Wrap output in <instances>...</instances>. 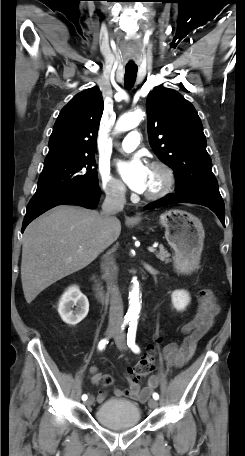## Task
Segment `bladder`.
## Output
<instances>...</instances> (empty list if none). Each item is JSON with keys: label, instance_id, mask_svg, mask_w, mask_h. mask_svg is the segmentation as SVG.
Listing matches in <instances>:
<instances>
[{"label": "bladder", "instance_id": "31cf9c89", "mask_svg": "<svg viewBox=\"0 0 245 456\" xmlns=\"http://www.w3.org/2000/svg\"><path fill=\"white\" fill-rule=\"evenodd\" d=\"M95 418L102 426L110 429H129L141 422V409L132 401L114 398L97 407Z\"/></svg>", "mask_w": 245, "mask_h": 456}]
</instances>
